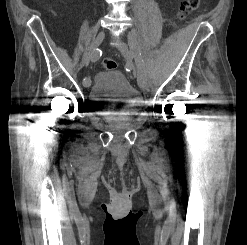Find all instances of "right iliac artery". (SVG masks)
<instances>
[{
  "instance_id": "obj_1",
  "label": "right iliac artery",
  "mask_w": 247,
  "mask_h": 245,
  "mask_svg": "<svg viewBox=\"0 0 247 245\" xmlns=\"http://www.w3.org/2000/svg\"><path fill=\"white\" fill-rule=\"evenodd\" d=\"M101 54H102V52L97 48L96 50H94V51L91 53L89 59H91V57H98V59H99L100 56H101ZM84 63H85V64H88V63H89V60H88V59H85V60H84Z\"/></svg>"
}]
</instances>
